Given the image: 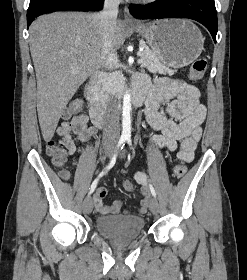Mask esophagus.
Masks as SVG:
<instances>
[{
  "mask_svg": "<svg viewBox=\"0 0 247 280\" xmlns=\"http://www.w3.org/2000/svg\"><path fill=\"white\" fill-rule=\"evenodd\" d=\"M124 18L125 22L128 24H137L138 21L131 15L128 7H125L124 9Z\"/></svg>",
  "mask_w": 247,
  "mask_h": 280,
  "instance_id": "esophagus-1",
  "label": "esophagus"
}]
</instances>
